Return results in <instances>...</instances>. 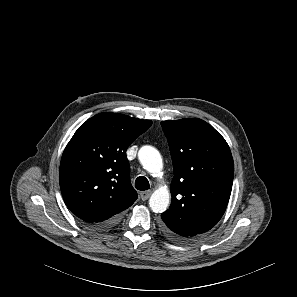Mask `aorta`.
I'll return each instance as SVG.
<instances>
[{"instance_id": "1", "label": "aorta", "mask_w": 297, "mask_h": 297, "mask_svg": "<svg viewBox=\"0 0 297 297\" xmlns=\"http://www.w3.org/2000/svg\"><path fill=\"white\" fill-rule=\"evenodd\" d=\"M143 168L151 174L159 173L163 168V162L158 150L151 146H143L138 153ZM169 191L160 187L150 197L149 205L153 212H164L169 205Z\"/></svg>"}]
</instances>
